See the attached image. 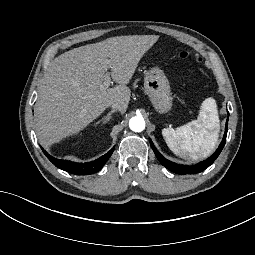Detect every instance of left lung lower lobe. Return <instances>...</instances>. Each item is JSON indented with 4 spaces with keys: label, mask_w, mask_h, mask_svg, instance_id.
<instances>
[{
    "label": "left lung lower lobe",
    "mask_w": 255,
    "mask_h": 255,
    "mask_svg": "<svg viewBox=\"0 0 255 255\" xmlns=\"http://www.w3.org/2000/svg\"><path fill=\"white\" fill-rule=\"evenodd\" d=\"M227 131H228V118L226 121V127H225V133H224V137L222 142L220 143L218 149L216 150V152L209 157L208 159H206L205 161H202L198 164L195 165H179L176 163H173L167 159H165L160 153L159 151L156 149V147L153 145L152 141H150V145L156 155V157L158 158V160L160 161V163L166 167L168 170L177 173V174H196V173H200L203 170H205L208 166H210L215 160L216 158L219 156L220 152L222 151L225 143H226V136H227Z\"/></svg>",
    "instance_id": "left-lung-lower-lobe-1"
}]
</instances>
